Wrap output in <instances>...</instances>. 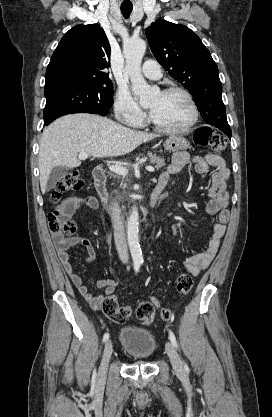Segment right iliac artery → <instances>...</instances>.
<instances>
[{"mask_svg":"<svg viewBox=\"0 0 272 417\" xmlns=\"http://www.w3.org/2000/svg\"><path fill=\"white\" fill-rule=\"evenodd\" d=\"M139 268H140V263H135L134 264V270H135L136 273L139 271ZM108 338H109V334L105 333L104 336H103V341L106 342L108 340Z\"/></svg>","mask_w":272,"mask_h":417,"instance_id":"obj_1","label":"right iliac artery"}]
</instances>
